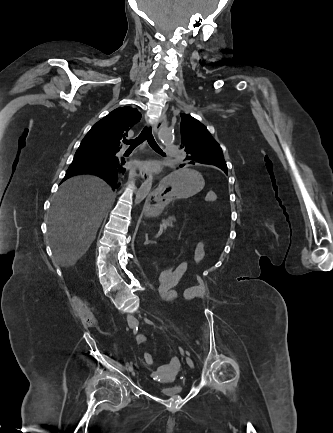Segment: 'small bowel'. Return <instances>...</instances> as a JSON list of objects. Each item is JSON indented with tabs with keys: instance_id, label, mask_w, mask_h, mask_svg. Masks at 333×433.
Masks as SVG:
<instances>
[{
	"instance_id": "1",
	"label": "small bowel",
	"mask_w": 333,
	"mask_h": 433,
	"mask_svg": "<svg viewBox=\"0 0 333 433\" xmlns=\"http://www.w3.org/2000/svg\"><path fill=\"white\" fill-rule=\"evenodd\" d=\"M205 257V244L198 242L194 248V259L196 264H200ZM188 269V261L183 260L179 262L173 270L174 275L171 280H167L166 286L160 285V293L164 300L168 302H174L177 300L192 301L194 299H203L207 294V286L204 280L199 277L195 285L186 288L182 295L179 296L177 291L174 289L178 284L181 277L185 274ZM147 341V337L144 334L136 336V343L142 344Z\"/></svg>"
}]
</instances>
